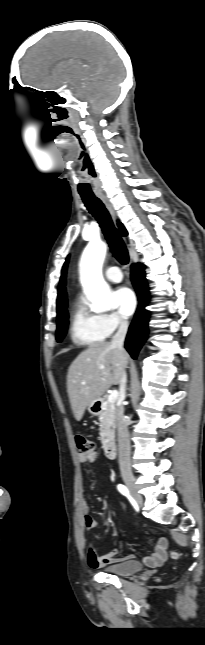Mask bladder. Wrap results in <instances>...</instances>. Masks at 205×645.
<instances>
[{"mask_svg": "<svg viewBox=\"0 0 205 645\" xmlns=\"http://www.w3.org/2000/svg\"><path fill=\"white\" fill-rule=\"evenodd\" d=\"M142 568V564L137 560H123L107 565L103 570L117 576H131L140 572Z\"/></svg>", "mask_w": 205, "mask_h": 645, "instance_id": "1", "label": "bladder"}]
</instances>
